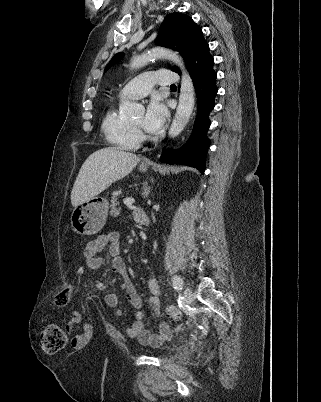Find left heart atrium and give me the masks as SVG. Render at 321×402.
I'll list each match as a JSON object with an SVG mask.
<instances>
[{
  "instance_id": "1",
  "label": "left heart atrium",
  "mask_w": 321,
  "mask_h": 402,
  "mask_svg": "<svg viewBox=\"0 0 321 402\" xmlns=\"http://www.w3.org/2000/svg\"><path fill=\"white\" fill-rule=\"evenodd\" d=\"M168 118V110L158 98H153L146 108L143 120L144 129L152 134L158 133Z\"/></svg>"
}]
</instances>
